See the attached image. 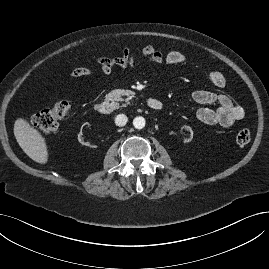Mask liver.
I'll use <instances>...</instances> for the list:
<instances>
[{"mask_svg": "<svg viewBox=\"0 0 269 269\" xmlns=\"http://www.w3.org/2000/svg\"><path fill=\"white\" fill-rule=\"evenodd\" d=\"M13 131L19 146L28 157L39 164L48 162V148L45 138L26 119H16Z\"/></svg>", "mask_w": 269, "mask_h": 269, "instance_id": "1", "label": "liver"}]
</instances>
